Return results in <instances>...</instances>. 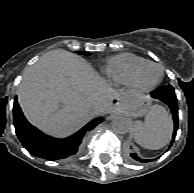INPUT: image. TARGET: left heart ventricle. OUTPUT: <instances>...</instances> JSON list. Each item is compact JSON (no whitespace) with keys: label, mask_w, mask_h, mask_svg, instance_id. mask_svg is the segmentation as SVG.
Here are the masks:
<instances>
[{"label":"left heart ventricle","mask_w":194,"mask_h":193,"mask_svg":"<svg viewBox=\"0 0 194 193\" xmlns=\"http://www.w3.org/2000/svg\"><path fill=\"white\" fill-rule=\"evenodd\" d=\"M159 74L160 71L158 68L154 66H147L141 74V80L145 84H151L158 79Z\"/></svg>","instance_id":"left-heart-ventricle-1"}]
</instances>
